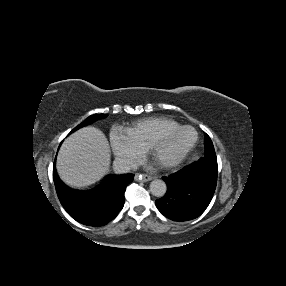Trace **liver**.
I'll list each match as a JSON object with an SVG mask.
<instances>
[{"label":"liver","instance_id":"liver-1","mask_svg":"<svg viewBox=\"0 0 286 286\" xmlns=\"http://www.w3.org/2000/svg\"><path fill=\"white\" fill-rule=\"evenodd\" d=\"M110 165V149L97 128L84 127L67 137L57 156V171L69 185L86 187L98 181Z\"/></svg>","mask_w":286,"mask_h":286}]
</instances>
